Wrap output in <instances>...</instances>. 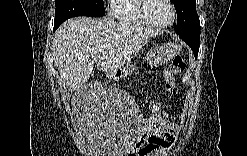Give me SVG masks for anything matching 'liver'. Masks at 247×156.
<instances>
[{
    "label": "liver",
    "mask_w": 247,
    "mask_h": 156,
    "mask_svg": "<svg viewBox=\"0 0 247 156\" xmlns=\"http://www.w3.org/2000/svg\"><path fill=\"white\" fill-rule=\"evenodd\" d=\"M159 30L108 18H72L55 32L53 56L63 86L75 90L97 68L108 76L122 68Z\"/></svg>",
    "instance_id": "6515ba94"
}]
</instances>
